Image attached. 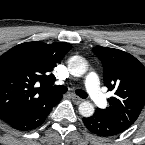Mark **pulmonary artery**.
Segmentation results:
<instances>
[{
  "label": "pulmonary artery",
  "mask_w": 145,
  "mask_h": 145,
  "mask_svg": "<svg viewBox=\"0 0 145 145\" xmlns=\"http://www.w3.org/2000/svg\"><path fill=\"white\" fill-rule=\"evenodd\" d=\"M85 85L92 101L96 105L104 107L107 104V97L99 87L97 74L94 72L89 73L86 77Z\"/></svg>",
  "instance_id": "e3ab8cb5"
}]
</instances>
